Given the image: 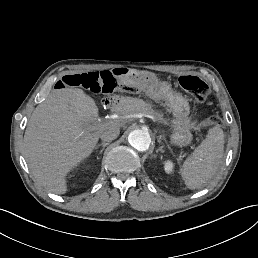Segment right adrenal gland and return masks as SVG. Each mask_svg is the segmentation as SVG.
<instances>
[{
	"instance_id": "1",
	"label": "right adrenal gland",
	"mask_w": 258,
	"mask_h": 258,
	"mask_svg": "<svg viewBox=\"0 0 258 258\" xmlns=\"http://www.w3.org/2000/svg\"><path fill=\"white\" fill-rule=\"evenodd\" d=\"M100 145H102V146H104V147H107V146L109 145V142H101L100 144H97V145L95 146V148H97V147L100 146ZM100 159H101V156L98 157V160H100Z\"/></svg>"
}]
</instances>
